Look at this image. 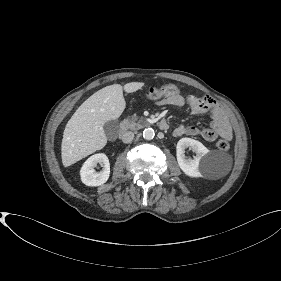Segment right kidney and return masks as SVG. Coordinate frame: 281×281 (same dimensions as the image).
<instances>
[{
  "label": "right kidney",
  "instance_id": "right-kidney-1",
  "mask_svg": "<svg viewBox=\"0 0 281 281\" xmlns=\"http://www.w3.org/2000/svg\"><path fill=\"white\" fill-rule=\"evenodd\" d=\"M100 164L103 170L96 173L94 167ZM81 181L87 186H100L104 184L110 176V164L108 157L103 153L90 156L80 170Z\"/></svg>",
  "mask_w": 281,
  "mask_h": 281
}]
</instances>
